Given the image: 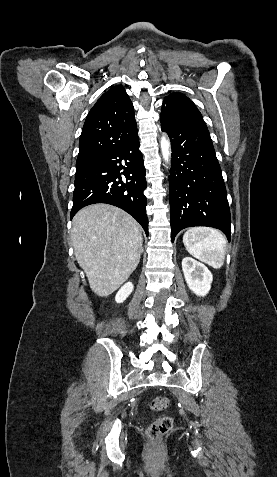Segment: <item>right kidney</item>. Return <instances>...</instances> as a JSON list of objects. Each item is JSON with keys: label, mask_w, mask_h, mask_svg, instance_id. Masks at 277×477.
Returning a JSON list of instances; mask_svg holds the SVG:
<instances>
[{"label": "right kidney", "mask_w": 277, "mask_h": 477, "mask_svg": "<svg viewBox=\"0 0 277 477\" xmlns=\"http://www.w3.org/2000/svg\"><path fill=\"white\" fill-rule=\"evenodd\" d=\"M132 291H133V284L131 282H127L117 292L115 301L117 303L124 302L126 298L131 294Z\"/></svg>", "instance_id": "1"}]
</instances>
